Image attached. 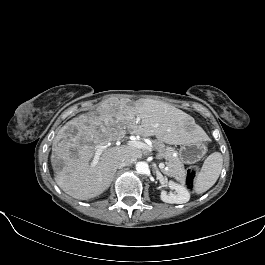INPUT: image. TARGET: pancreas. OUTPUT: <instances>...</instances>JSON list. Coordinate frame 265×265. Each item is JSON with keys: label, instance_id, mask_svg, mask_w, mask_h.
<instances>
[{"label": "pancreas", "instance_id": "pancreas-1", "mask_svg": "<svg viewBox=\"0 0 265 265\" xmlns=\"http://www.w3.org/2000/svg\"><path fill=\"white\" fill-rule=\"evenodd\" d=\"M154 147L158 151L159 157L166 160L167 169H162L161 171L175 179L183 182L185 180L186 174L184 165L180 161L178 156H174L176 153L175 149L172 147H167L160 141L154 142Z\"/></svg>", "mask_w": 265, "mask_h": 265}]
</instances>
